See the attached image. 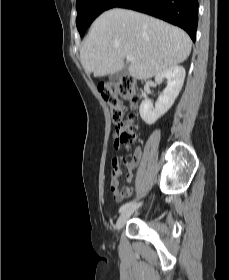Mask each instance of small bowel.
Listing matches in <instances>:
<instances>
[{
    "instance_id": "1",
    "label": "small bowel",
    "mask_w": 229,
    "mask_h": 280,
    "mask_svg": "<svg viewBox=\"0 0 229 280\" xmlns=\"http://www.w3.org/2000/svg\"><path fill=\"white\" fill-rule=\"evenodd\" d=\"M132 168H133V165L129 164L128 165V173H127V176H126L127 182H131L132 179H133ZM120 174H121V169H120L119 163H118L117 160H114L113 161V167H112V170H111V189L113 191L114 200L116 202H121L122 200L130 197L131 194H132V189L131 188H127L124 191H115L114 190V188L119 185Z\"/></svg>"
}]
</instances>
